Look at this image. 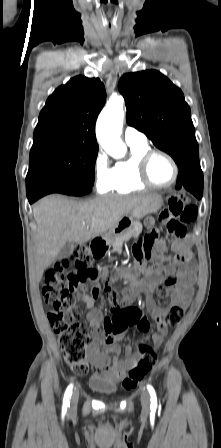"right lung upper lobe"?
<instances>
[{"label": "right lung upper lobe", "instance_id": "right-lung-upper-lobe-1", "mask_svg": "<svg viewBox=\"0 0 221 448\" xmlns=\"http://www.w3.org/2000/svg\"><path fill=\"white\" fill-rule=\"evenodd\" d=\"M106 101L98 78L76 76L46 101L34 130L32 148L56 143L96 145L95 122Z\"/></svg>", "mask_w": 221, "mask_h": 448}]
</instances>
